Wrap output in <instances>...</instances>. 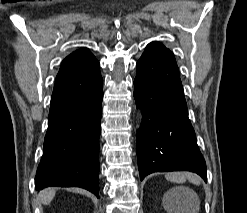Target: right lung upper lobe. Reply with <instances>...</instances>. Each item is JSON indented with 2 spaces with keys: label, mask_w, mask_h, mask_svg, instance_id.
Here are the masks:
<instances>
[{
  "label": "right lung upper lobe",
  "mask_w": 247,
  "mask_h": 213,
  "mask_svg": "<svg viewBox=\"0 0 247 213\" xmlns=\"http://www.w3.org/2000/svg\"><path fill=\"white\" fill-rule=\"evenodd\" d=\"M99 67L95 56L86 48H81L68 55L61 63L56 82L71 76L82 74Z\"/></svg>",
  "instance_id": "cb5924a9"
}]
</instances>
